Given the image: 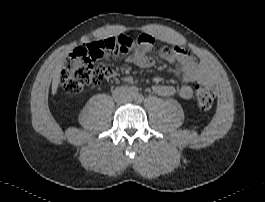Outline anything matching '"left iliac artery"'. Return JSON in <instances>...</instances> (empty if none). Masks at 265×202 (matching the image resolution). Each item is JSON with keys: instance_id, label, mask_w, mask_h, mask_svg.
I'll return each instance as SVG.
<instances>
[{"instance_id": "44dca946", "label": "left iliac artery", "mask_w": 265, "mask_h": 202, "mask_svg": "<svg viewBox=\"0 0 265 202\" xmlns=\"http://www.w3.org/2000/svg\"><path fill=\"white\" fill-rule=\"evenodd\" d=\"M143 96L141 95V94H139V95H137V100L139 101V102H141L142 100H143Z\"/></svg>"}]
</instances>
